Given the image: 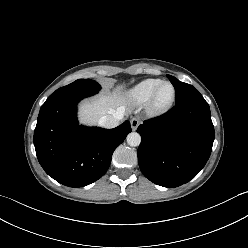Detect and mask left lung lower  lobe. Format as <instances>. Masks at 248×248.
I'll return each mask as SVG.
<instances>
[{
    "label": "left lung lower lobe",
    "instance_id": "0a47b994",
    "mask_svg": "<svg viewBox=\"0 0 248 248\" xmlns=\"http://www.w3.org/2000/svg\"><path fill=\"white\" fill-rule=\"evenodd\" d=\"M137 132L139 167L157 185L173 188L189 182L205 166L214 126L204 98L176 104L162 116L146 120Z\"/></svg>",
    "mask_w": 248,
    "mask_h": 248
}]
</instances>
